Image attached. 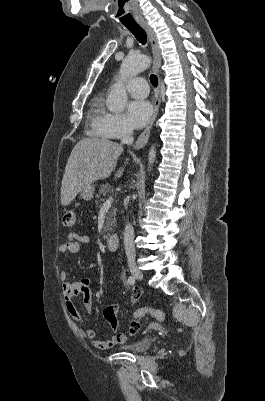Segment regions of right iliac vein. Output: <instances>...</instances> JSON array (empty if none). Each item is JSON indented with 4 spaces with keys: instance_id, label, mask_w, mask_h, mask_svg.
<instances>
[{
    "instance_id": "1",
    "label": "right iliac vein",
    "mask_w": 265,
    "mask_h": 401,
    "mask_svg": "<svg viewBox=\"0 0 265 401\" xmlns=\"http://www.w3.org/2000/svg\"><path fill=\"white\" fill-rule=\"evenodd\" d=\"M129 269L131 274L134 276V278L138 279V280H143L144 279V275L142 273V271L138 268V266L135 263H130L129 264Z\"/></svg>"
}]
</instances>
